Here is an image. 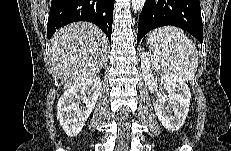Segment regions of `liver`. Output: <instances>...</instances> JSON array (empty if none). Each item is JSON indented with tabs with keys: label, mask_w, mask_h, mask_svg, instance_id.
Wrapping results in <instances>:
<instances>
[{
	"label": "liver",
	"mask_w": 231,
	"mask_h": 151,
	"mask_svg": "<svg viewBox=\"0 0 231 151\" xmlns=\"http://www.w3.org/2000/svg\"><path fill=\"white\" fill-rule=\"evenodd\" d=\"M107 44L102 30L88 22L69 24L53 35L50 61L65 90L97 76Z\"/></svg>",
	"instance_id": "liver-1"
}]
</instances>
